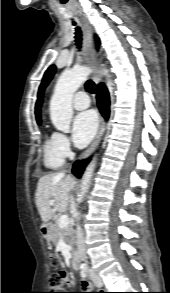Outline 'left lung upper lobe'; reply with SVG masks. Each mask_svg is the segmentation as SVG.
<instances>
[{"label": "left lung upper lobe", "instance_id": "obj_1", "mask_svg": "<svg viewBox=\"0 0 170 293\" xmlns=\"http://www.w3.org/2000/svg\"><path fill=\"white\" fill-rule=\"evenodd\" d=\"M56 67L54 65L50 66L43 77L42 83L39 87V93L38 95L41 94V92L43 91V89L47 86V84L49 83V81L52 79L54 73H55Z\"/></svg>", "mask_w": 170, "mask_h": 293}]
</instances>
